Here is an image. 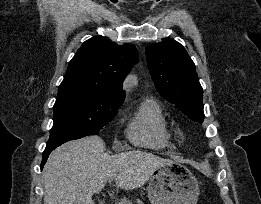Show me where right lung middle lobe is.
<instances>
[{"instance_id":"dd1d6c3e","label":"right lung middle lobe","mask_w":261,"mask_h":204,"mask_svg":"<svg viewBox=\"0 0 261 204\" xmlns=\"http://www.w3.org/2000/svg\"><path fill=\"white\" fill-rule=\"evenodd\" d=\"M121 104L122 101L105 100L92 92L58 95L47 145L98 134L115 117Z\"/></svg>"}]
</instances>
